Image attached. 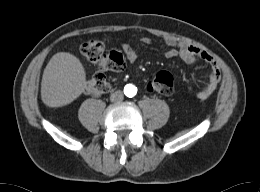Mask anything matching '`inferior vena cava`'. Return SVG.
<instances>
[{"mask_svg":"<svg viewBox=\"0 0 260 192\" xmlns=\"http://www.w3.org/2000/svg\"><path fill=\"white\" fill-rule=\"evenodd\" d=\"M123 98H124L123 92L120 91V90L114 92V93L111 94V96H110V100H111L112 102H120V101L123 100Z\"/></svg>","mask_w":260,"mask_h":192,"instance_id":"1","label":"inferior vena cava"}]
</instances>
